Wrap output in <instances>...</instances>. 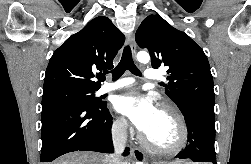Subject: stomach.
I'll use <instances>...</instances> for the list:
<instances>
[{"instance_id":"0dacf381","label":"stomach","mask_w":251,"mask_h":164,"mask_svg":"<svg viewBox=\"0 0 251 164\" xmlns=\"http://www.w3.org/2000/svg\"><path fill=\"white\" fill-rule=\"evenodd\" d=\"M153 164H174L173 162L172 163H166V162H155ZM178 164H187V163H178Z\"/></svg>"}]
</instances>
